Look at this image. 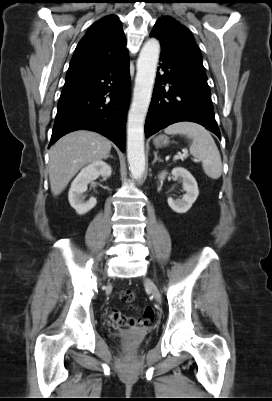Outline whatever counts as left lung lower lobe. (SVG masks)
<instances>
[{"instance_id": "1", "label": "left lung lower lobe", "mask_w": 272, "mask_h": 401, "mask_svg": "<svg viewBox=\"0 0 272 401\" xmlns=\"http://www.w3.org/2000/svg\"><path fill=\"white\" fill-rule=\"evenodd\" d=\"M160 61L158 69L164 73H157L145 136L176 122L191 121L221 139L204 68L164 50H161Z\"/></svg>"}]
</instances>
